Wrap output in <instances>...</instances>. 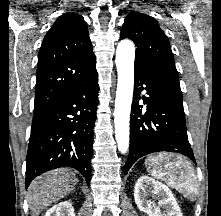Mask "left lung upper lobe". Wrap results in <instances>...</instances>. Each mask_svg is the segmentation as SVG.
<instances>
[{
    "label": "left lung upper lobe",
    "mask_w": 221,
    "mask_h": 216,
    "mask_svg": "<svg viewBox=\"0 0 221 216\" xmlns=\"http://www.w3.org/2000/svg\"><path fill=\"white\" fill-rule=\"evenodd\" d=\"M120 37L134 41L137 47L135 63L159 76L174 102L183 108L179 76L170 43L157 21L147 14L131 12L125 18Z\"/></svg>",
    "instance_id": "1"
}]
</instances>
